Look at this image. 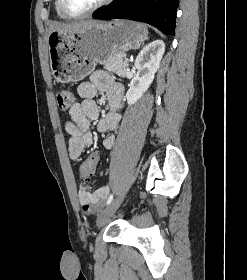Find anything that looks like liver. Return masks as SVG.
Instances as JSON below:
<instances>
[{
    "label": "liver",
    "instance_id": "1",
    "mask_svg": "<svg viewBox=\"0 0 247 280\" xmlns=\"http://www.w3.org/2000/svg\"><path fill=\"white\" fill-rule=\"evenodd\" d=\"M100 21L95 20H86V21H78L72 23H54L50 26L49 33L51 32H59V33H75L84 31L93 25L99 23Z\"/></svg>",
    "mask_w": 247,
    "mask_h": 280
}]
</instances>
